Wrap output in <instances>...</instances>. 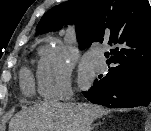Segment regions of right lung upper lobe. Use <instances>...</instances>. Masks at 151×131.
<instances>
[{"label":"right lung upper lobe","instance_id":"1","mask_svg":"<svg viewBox=\"0 0 151 131\" xmlns=\"http://www.w3.org/2000/svg\"><path fill=\"white\" fill-rule=\"evenodd\" d=\"M76 24L80 48L92 42L111 49L109 70L151 67V8L147 0H69L46 12L37 26L44 33Z\"/></svg>","mask_w":151,"mask_h":131}]
</instances>
